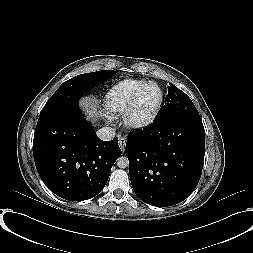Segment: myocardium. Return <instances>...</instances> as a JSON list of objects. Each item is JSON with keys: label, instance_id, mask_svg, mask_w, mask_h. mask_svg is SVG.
Returning a JSON list of instances; mask_svg holds the SVG:
<instances>
[{"label": "myocardium", "instance_id": "f54148a6", "mask_svg": "<svg viewBox=\"0 0 253 253\" xmlns=\"http://www.w3.org/2000/svg\"><path fill=\"white\" fill-rule=\"evenodd\" d=\"M149 85H155L158 88V90L160 92V100H159L156 108L153 110V112L148 117H146L144 119H138L136 117V110L139 105V100H140L142 92ZM164 98H165L164 91L157 82H155V81L144 82L142 85H140L138 87V89L136 90V92L134 93V95L132 97L131 102L129 103L128 107L124 111L123 118H124L125 124L128 127L135 129V130H141V129L149 127L157 118V116L163 106Z\"/></svg>", "mask_w": 253, "mask_h": 253}]
</instances>
